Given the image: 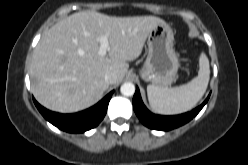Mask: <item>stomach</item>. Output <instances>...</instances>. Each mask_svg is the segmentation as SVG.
<instances>
[{"instance_id":"obj_1","label":"stomach","mask_w":248,"mask_h":165,"mask_svg":"<svg viewBox=\"0 0 248 165\" xmlns=\"http://www.w3.org/2000/svg\"><path fill=\"white\" fill-rule=\"evenodd\" d=\"M173 41V30L166 23L157 25L149 32L148 56L140 69L144 81L158 87H166L174 82L179 61L173 48Z\"/></svg>"}]
</instances>
